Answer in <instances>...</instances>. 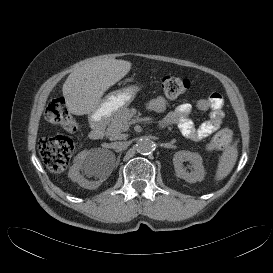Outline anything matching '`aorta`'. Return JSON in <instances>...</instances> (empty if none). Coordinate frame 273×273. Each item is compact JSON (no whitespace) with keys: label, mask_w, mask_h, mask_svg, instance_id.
<instances>
[{"label":"aorta","mask_w":273,"mask_h":273,"mask_svg":"<svg viewBox=\"0 0 273 273\" xmlns=\"http://www.w3.org/2000/svg\"><path fill=\"white\" fill-rule=\"evenodd\" d=\"M137 152L143 155H148L155 150V144L150 139H143L137 143Z\"/></svg>","instance_id":"762f6f07"}]
</instances>
